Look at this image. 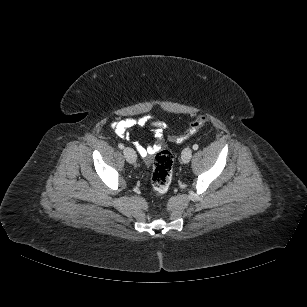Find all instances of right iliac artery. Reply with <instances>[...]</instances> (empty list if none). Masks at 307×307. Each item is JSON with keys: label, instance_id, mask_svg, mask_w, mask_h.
I'll list each match as a JSON object with an SVG mask.
<instances>
[{"label": "right iliac artery", "instance_id": "obj_1", "mask_svg": "<svg viewBox=\"0 0 307 307\" xmlns=\"http://www.w3.org/2000/svg\"><path fill=\"white\" fill-rule=\"evenodd\" d=\"M119 149H123L124 145L122 143L118 144Z\"/></svg>", "mask_w": 307, "mask_h": 307}]
</instances>
